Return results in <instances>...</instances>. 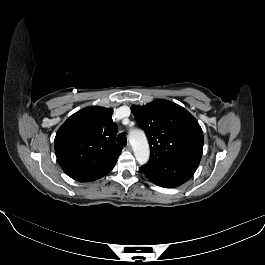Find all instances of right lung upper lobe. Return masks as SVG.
I'll use <instances>...</instances> for the list:
<instances>
[{"mask_svg":"<svg viewBox=\"0 0 265 265\" xmlns=\"http://www.w3.org/2000/svg\"><path fill=\"white\" fill-rule=\"evenodd\" d=\"M112 114V108L86 107L59 128L55 154L68 176L105 175L113 169L122 147L115 142L118 128Z\"/></svg>","mask_w":265,"mask_h":265,"instance_id":"1","label":"right lung upper lobe"}]
</instances>
